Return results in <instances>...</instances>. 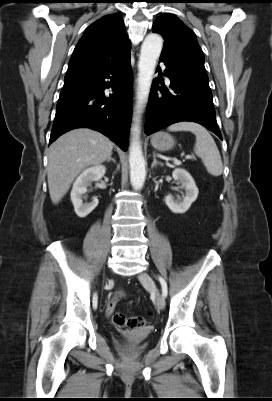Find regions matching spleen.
Wrapping results in <instances>:
<instances>
[{
	"mask_svg": "<svg viewBox=\"0 0 272 401\" xmlns=\"http://www.w3.org/2000/svg\"><path fill=\"white\" fill-rule=\"evenodd\" d=\"M169 131H190L196 136L194 153L201 158L206 170L213 176H220L223 164L217 145L209 132L194 122L182 121L168 127Z\"/></svg>",
	"mask_w": 272,
	"mask_h": 401,
	"instance_id": "3e777b00",
	"label": "spleen"
}]
</instances>
